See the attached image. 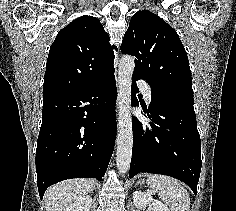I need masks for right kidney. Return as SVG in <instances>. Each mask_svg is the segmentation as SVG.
<instances>
[{
	"instance_id": "right-kidney-1",
	"label": "right kidney",
	"mask_w": 236,
	"mask_h": 211,
	"mask_svg": "<svg viewBox=\"0 0 236 211\" xmlns=\"http://www.w3.org/2000/svg\"><path fill=\"white\" fill-rule=\"evenodd\" d=\"M92 205L91 196H83L66 207L64 211H89Z\"/></svg>"
}]
</instances>
